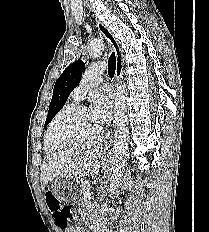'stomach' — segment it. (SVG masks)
Instances as JSON below:
<instances>
[{
	"label": "stomach",
	"mask_w": 209,
	"mask_h": 232,
	"mask_svg": "<svg viewBox=\"0 0 209 232\" xmlns=\"http://www.w3.org/2000/svg\"><path fill=\"white\" fill-rule=\"evenodd\" d=\"M53 191L55 199L69 203L70 199H80L81 182L77 176H56Z\"/></svg>",
	"instance_id": "0dacf381"
}]
</instances>
